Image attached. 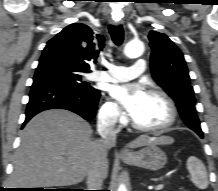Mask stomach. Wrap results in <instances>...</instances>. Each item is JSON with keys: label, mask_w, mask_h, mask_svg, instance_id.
Returning a JSON list of instances; mask_svg holds the SVG:
<instances>
[{"label": "stomach", "mask_w": 218, "mask_h": 191, "mask_svg": "<svg viewBox=\"0 0 218 191\" xmlns=\"http://www.w3.org/2000/svg\"><path fill=\"white\" fill-rule=\"evenodd\" d=\"M123 161L136 167L150 171H158L167 163V156L156 144L146 145L143 149L132 152Z\"/></svg>", "instance_id": "stomach-1"}]
</instances>
